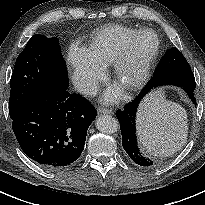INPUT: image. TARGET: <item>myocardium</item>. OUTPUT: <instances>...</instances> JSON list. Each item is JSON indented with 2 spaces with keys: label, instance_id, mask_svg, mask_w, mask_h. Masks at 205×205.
I'll use <instances>...</instances> for the list:
<instances>
[{
  "label": "myocardium",
  "instance_id": "f54148a6",
  "mask_svg": "<svg viewBox=\"0 0 205 205\" xmlns=\"http://www.w3.org/2000/svg\"><path fill=\"white\" fill-rule=\"evenodd\" d=\"M145 35H151L155 39V46L151 52L140 57L138 55L136 44ZM160 50V41L155 31L144 29L138 31L128 42L126 49L113 62V71L115 79L120 82L128 91L142 88L149 79L151 67L156 60ZM138 60V74L128 82H124L125 71L130 63Z\"/></svg>",
  "mask_w": 205,
  "mask_h": 205
}]
</instances>
